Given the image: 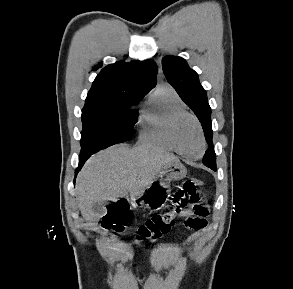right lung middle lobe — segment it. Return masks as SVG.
Returning <instances> with one entry per match:
<instances>
[{"instance_id": "dd1d6c3e", "label": "right lung middle lobe", "mask_w": 293, "mask_h": 289, "mask_svg": "<svg viewBox=\"0 0 293 289\" xmlns=\"http://www.w3.org/2000/svg\"><path fill=\"white\" fill-rule=\"evenodd\" d=\"M137 97L106 103L85 104L82 110L81 154H93L133 137L137 113L128 109Z\"/></svg>"}]
</instances>
